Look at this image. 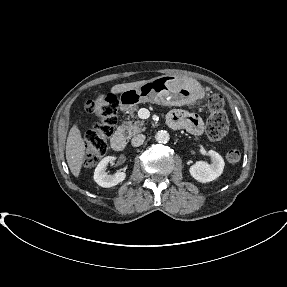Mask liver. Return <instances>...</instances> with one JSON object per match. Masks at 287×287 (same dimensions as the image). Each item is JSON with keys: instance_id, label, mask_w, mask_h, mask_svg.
Masks as SVG:
<instances>
[{"instance_id": "1", "label": "liver", "mask_w": 287, "mask_h": 287, "mask_svg": "<svg viewBox=\"0 0 287 287\" xmlns=\"http://www.w3.org/2000/svg\"><path fill=\"white\" fill-rule=\"evenodd\" d=\"M148 80H142L131 83L117 84L111 88L113 94L121 93L125 90L133 89ZM85 158V142L81 136V132L74 124L69 131L66 143V160L70 171L75 177H78L82 168V164Z\"/></svg>"}]
</instances>
